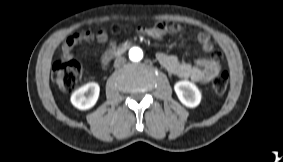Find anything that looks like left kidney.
<instances>
[{
    "instance_id": "1",
    "label": "left kidney",
    "mask_w": 283,
    "mask_h": 162,
    "mask_svg": "<svg viewBox=\"0 0 283 162\" xmlns=\"http://www.w3.org/2000/svg\"><path fill=\"white\" fill-rule=\"evenodd\" d=\"M175 93L180 102L189 108H195L200 104L201 92L197 86L187 80L178 81L174 85Z\"/></svg>"
}]
</instances>
